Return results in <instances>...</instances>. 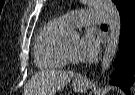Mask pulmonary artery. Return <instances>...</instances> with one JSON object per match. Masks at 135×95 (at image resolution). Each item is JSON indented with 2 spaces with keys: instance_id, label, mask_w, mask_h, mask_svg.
<instances>
[{
  "instance_id": "1",
  "label": "pulmonary artery",
  "mask_w": 135,
  "mask_h": 95,
  "mask_svg": "<svg viewBox=\"0 0 135 95\" xmlns=\"http://www.w3.org/2000/svg\"><path fill=\"white\" fill-rule=\"evenodd\" d=\"M68 27L82 26L85 24H102L108 21L107 14L102 10H76L61 17Z\"/></svg>"
}]
</instances>
